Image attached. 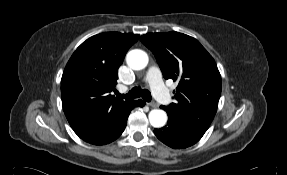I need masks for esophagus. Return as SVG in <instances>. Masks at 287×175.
I'll return each mask as SVG.
<instances>
[{"label":"esophagus","mask_w":287,"mask_h":175,"mask_svg":"<svg viewBox=\"0 0 287 175\" xmlns=\"http://www.w3.org/2000/svg\"><path fill=\"white\" fill-rule=\"evenodd\" d=\"M150 107H152V108H157V107H159V105L156 103V102H149V103H147Z\"/></svg>","instance_id":"esophagus-1"}]
</instances>
